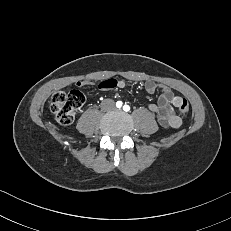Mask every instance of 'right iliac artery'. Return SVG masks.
Masks as SVG:
<instances>
[{
    "label": "right iliac artery",
    "mask_w": 231,
    "mask_h": 231,
    "mask_svg": "<svg viewBox=\"0 0 231 231\" xmlns=\"http://www.w3.org/2000/svg\"><path fill=\"white\" fill-rule=\"evenodd\" d=\"M116 106H117L118 108H121V107H122V102H121V101H118V102L116 103Z\"/></svg>",
    "instance_id": "1"
}]
</instances>
